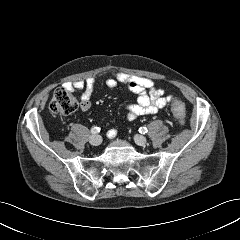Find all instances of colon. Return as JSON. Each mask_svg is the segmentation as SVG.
<instances>
[{"label": "colon", "instance_id": "obj_1", "mask_svg": "<svg viewBox=\"0 0 240 240\" xmlns=\"http://www.w3.org/2000/svg\"><path fill=\"white\" fill-rule=\"evenodd\" d=\"M171 112L179 124H184L186 121L185 105L177 99L171 101ZM79 107L76 97L71 91L65 87L55 89L49 110L53 115L66 116L75 112Z\"/></svg>", "mask_w": 240, "mask_h": 240}]
</instances>
